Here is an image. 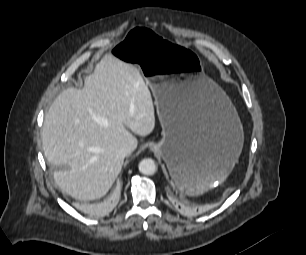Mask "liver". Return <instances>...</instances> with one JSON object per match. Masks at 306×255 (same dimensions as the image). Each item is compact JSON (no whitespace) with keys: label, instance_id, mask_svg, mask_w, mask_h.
Instances as JSON below:
<instances>
[{"label":"liver","instance_id":"6515ba94","mask_svg":"<svg viewBox=\"0 0 306 255\" xmlns=\"http://www.w3.org/2000/svg\"><path fill=\"white\" fill-rule=\"evenodd\" d=\"M84 88L70 87L51 104L42 128L46 159L58 187L78 200L103 197L121 171L124 144L155 128L150 90L137 66L106 55L85 77ZM130 131H129V130Z\"/></svg>","mask_w":306,"mask_h":255}]
</instances>
